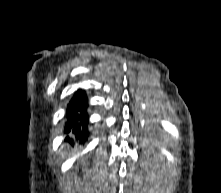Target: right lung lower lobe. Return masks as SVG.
Listing matches in <instances>:
<instances>
[{"mask_svg":"<svg viewBox=\"0 0 221 193\" xmlns=\"http://www.w3.org/2000/svg\"><path fill=\"white\" fill-rule=\"evenodd\" d=\"M87 97L82 91H78L67 110V122L65 133L69 134L66 141L73 143V138L84 142L89 135L88 132V114H87Z\"/></svg>","mask_w":221,"mask_h":193,"instance_id":"right-lung-lower-lobe-1","label":"right lung lower lobe"}]
</instances>
